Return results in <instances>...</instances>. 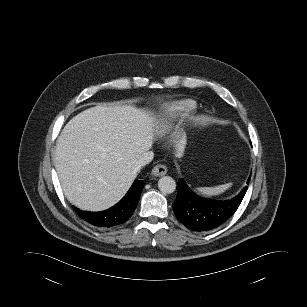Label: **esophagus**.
<instances>
[{"label":"esophagus","instance_id":"obj_1","mask_svg":"<svg viewBox=\"0 0 307 307\" xmlns=\"http://www.w3.org/2000/svg\"><path fill=\"white\" fill-rule=\"evenodd\" d=\"M167 173V168L165 165L158 164L154 166L151 170V174L156 177L163 176Z\"/></svg>","mask_w":307,"mask_h":307}]
</instances>
